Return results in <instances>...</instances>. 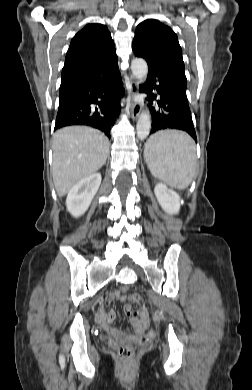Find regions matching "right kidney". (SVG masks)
<instances>
[{"label":"right kidney","mask_w":252,"mask_h":390,"mask_svg":"<svg viewBox=\"0 0 252 390\" xmlns=\"http://www.w3.org/2000/svg\"><path fill=\"white\" fill-rule=\"evenodd\" d=\"M101 174L94 173L75 184L66 198L67 210L74 217L83 215L101 184Z\"/></svg>","instance_id":"obj_1"}]
</instances>
